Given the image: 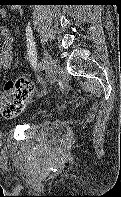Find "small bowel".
<instances>
[{
  "instance_id": "1",
  "label": "small bowel",
  "mask_w": 121,
  "mask_h": 197,
  "mask_svg": "<svg viewBox=\"0 0 121 197\" xmlns=\"http://www.w3.org/2000/svg\"><path fill=\"white\" fill-rule=\"evenodd\" d=\"M7 11L0 8V18H4ZM15 45V38L10 31L5 27H0V68H9L14 61L13 49ZM45 94V89L35 91L32 95L42 97ZM31 95V96H32ZM30 96V97H31Z\"/></svg>"
}]
</instances>
